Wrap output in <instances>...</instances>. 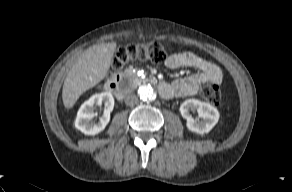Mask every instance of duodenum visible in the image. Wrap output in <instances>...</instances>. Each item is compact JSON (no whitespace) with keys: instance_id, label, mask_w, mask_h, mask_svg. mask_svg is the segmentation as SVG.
I'll return each instance as SVG.
<instances>
[{"instance_id":"410a0bca","label":"duodenum","mask_w":292,"mask_h":192,"mask_svg":"<svg viewBox=\"0 0 292 192\" xmlns=\"http://www.w3.org/2000/svg\"><path fill=\"white\" fill-rule=\"evenodd\" d=\"M107 88L118 99H122L124 97V95H125V89L123 87V78H122V76L113 77L109 81ZM158 90H159V93L164 97V96H167L170 93L171 87L166 82H160L158 84Z\"/></svg>"}]
</instances>
